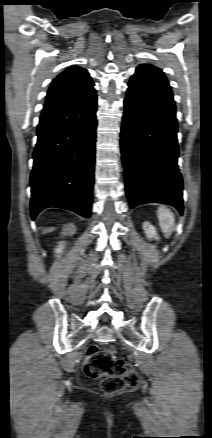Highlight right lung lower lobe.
<instances>
[{"label":"right lung lower lobe","instance_id":"98d812e1","mask_svg":"<svg viewBox=\"0 0 212 438\" xmlns=\"http://www.w3.org/2000/svg\"><path fill=\"white\" fill-rule=\"evenodd\" d=\"M96 111V94L78 103L43 109L30 176L33 219L51 207L90 217Z\"/></svg>","mask_w":212,"mask_h":438}]
</instances>
